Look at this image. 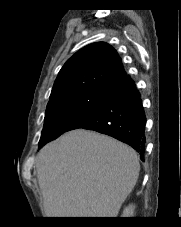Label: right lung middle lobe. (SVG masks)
I'll return each instance as SVG.
<instances>
[{
    "instance_id": "right-lung-middle-lobe-1",
    "label": "right lung middle lobe",
    "mask_w": 181,
    "mask_h": 227,
    "mask_svg": "<svg viewBox=\"0 0 181 227\" xmlns=\"http://www.w3.org/2000/svg\"><path fill=\"white\" fill-rule=\"evenodd\" d=\"M111 89H99L59 98L47 105L39 146L56 139L92 115L105 102Z\"/></svg>"
}]
</instances>
